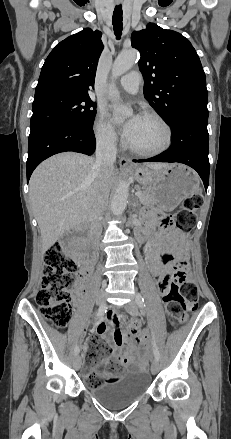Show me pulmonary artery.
<instances>
[{
    "label": "pulmonary artery",
    "instance_id": "1",
    "mask_svg": "<svg viewBox=\"0 0 231 439\" xmlns=\"http://www.w3.org/2000/svg\"><path fill=\"white\" fill-rule=\"evenodd\" d=\"M141 82V74L137 71L130 72L120 78V86L131 94L138 92Z\"/></svg>",
    "mask_w": 231,
    "mask_h": 439
}]
</instances>
